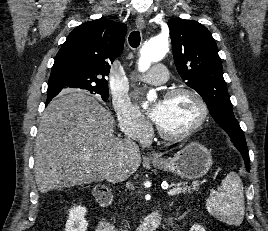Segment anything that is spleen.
Returning a JSON list of instances; mask_svg holds the SVG:
<instances>
[{
	"label": "spleen",
	"instance_id": "spleen-1",
	"mask_svg": "<svg viewBox=\"0 0 268 231\" xmlns=\"http://www.w3.org/2000/svg\"><path fill=\"white\" fill-rule=\"evenodd\" d=\"M243 184L235 172H230L222 180L218 192L206 201L210 214L230 225L238 226L244 219Z\"/></svg>",
	"mask_w": 268,
	"mask_h": 231
}]
</instances>
